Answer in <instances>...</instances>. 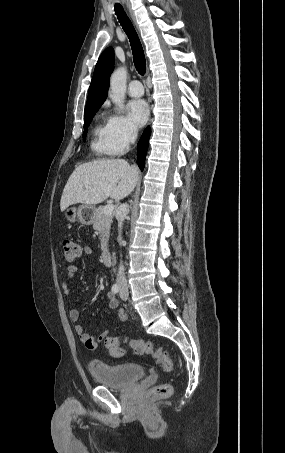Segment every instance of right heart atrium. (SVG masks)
<instances>
[{
  "label": "right heart atrium",
  "mask_w": 285,
  "mask_h": 453,
  "mask_svg": "<svg viewBox=\"0 0 285 453\" xmlns=\"http://www.w3.org/2000/svg\"><path fill=\"white\" fill-rule=\"evenodd\" d=\"M107 128L114 155L124 153L137 138V129L123 115H110L107 119Z\"/></svg>",
  "instance_id": "right-heart-atrium-1"
}]
</instances>
